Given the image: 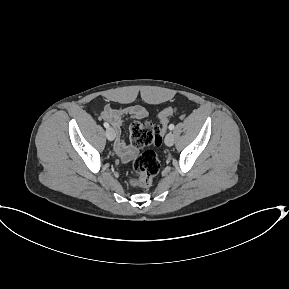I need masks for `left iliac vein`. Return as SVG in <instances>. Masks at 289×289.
<instances>
[{
	"label": "left iliac vein",
	"instance_id": "left-iliac-vein-1",
	"mask_svg": "<svg viewBox=\"0 0 289 289\" xmlns=\"http://www.w3.org/2000/svg\"><path fill=\"white\" fill-rule=\"evenodd\" d=\"M165 144L167 146H172L174 144V135L172 132H169L165 137Z\"/></svg>",
	"mask_w": 289,
	"mask_h": 289
}]
</instances>
